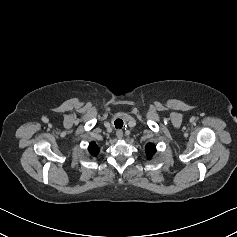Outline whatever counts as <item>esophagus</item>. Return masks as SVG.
<instances>
[{
  "mask_svg": "<svg viewBox=\"0 0 237 237\" xmlns=\"http://www.w3.org/2000/svg\"><path fill=\"white\" fill-rule=\"evenodd\" d=\"M116 136L121 139L123 137V131L122 130H117Z\"/></svg>",
  "mask_w": 237,
  "mask_h": 237,
  "instance_id": "esophagus-1",
  "label": "esophagus"
}]
</instances>
